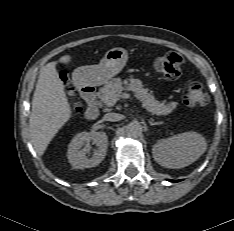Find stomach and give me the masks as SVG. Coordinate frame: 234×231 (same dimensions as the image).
<instances>
[{
    "label": "stomach",
    "instance_id": "0dacf381",
    "mask_svg": "<svg viewBox=\"0 0 234 231\" xmlns=\"http://www.w3.org/2000/svg\"><path fill=\"white\" fill-rule=\"evenodd\" d=\"M128 60V52L121 47L108 50L98 65L78 67L73 78L81 85H102L117 75Z\"/></svg>",
    "mask_w": 234,
    "mask_h": 231
}]
</instances>
